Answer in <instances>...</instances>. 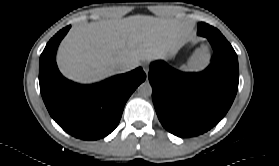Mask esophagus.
Segmentation results:
<instances>
[{"label":"esophagus","instance_id":"obj_1","mask_svg":"<svg viewBox=\"0 0 279 166\" xmlns=\"http://www.w3.org/2000/svg\"><path fill=\"white\" fill-rule=\"evenodd\" d=\"M143 70L146 73V75L148 76V72H149V66L148 65H144L143 66Z\"/></svg>","mask_w":279,"mask_h":166}]
</instances>
